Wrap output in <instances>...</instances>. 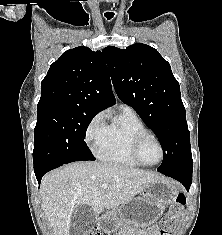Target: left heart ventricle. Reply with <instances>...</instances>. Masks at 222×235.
Segmentation results:
<instances>
[{
	"instance_id": "left-heart-ventricle-1",
	"label": "left heart ventricle",
	"mask_w": 222,
	"mask_h": 235,
	"mask_svg": "<svg viewBox=\"0 0 222 235\" xmlns=\"http://www.w3.org/2000/svg\"><path fill=\"white\" fill-rule=\"evenodd\" d=\"M141 157L144 162L153 164L160 159V149L154 140L146 141L141 148Z\"/></svg>"
}]
</instances>
